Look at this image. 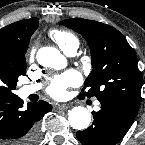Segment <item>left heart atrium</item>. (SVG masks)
Masks as SVG:
<instances>
[{"label": "left heart atrium", "mask_w": 145, "mask_h": 145, "mask_svg": "<svg viewBox=\"0 0 145 145\" xmlns=\"http://www.w3.org/2000/svg\"><path fill=\"white\" fill-rule=\"evenodd\" d=\"M79 82L80 75L76 71L70 70L63 75L56 77L52 81L48 92L55 98H63L67 94V88L75 86Z\"/></svg>", "instance_id": "obj_1"}]
</instances>
